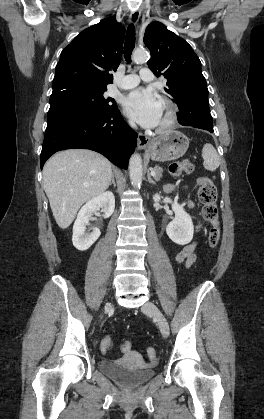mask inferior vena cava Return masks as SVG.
I'll return each instance as SVG.
<instances>
[{"label": "inferior vena cava", "instance_id": "obj_1", "mask_svg": "<svg viewBox=\"0 0 264 419\" xmlns=\"http://www.w3.org/2000/svg\"><path fill=\"white\" fill-rule=\"evenodd\" d=\"M130 125H131L133 128H136V125H135L133 122H130Z\"/></svg>", "mask_w": 264, "mask_h": 419}]
</instances>
